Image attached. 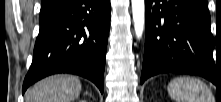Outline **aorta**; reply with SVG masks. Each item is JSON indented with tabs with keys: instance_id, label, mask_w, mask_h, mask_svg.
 <instances>
[{
	"instance_id": "1",
	"label": "aorta",
	"mask_w": 221,
	"mask_h": 102,
	"mask_svg": "<svg viewBox=\"0 0 221 102\" xmlns=\"http://www.w3.org/2000/svg\"><path fill=\"white\" fill-rule=\"evenodd\" d=\"M132 2V15L134 21V29L137 38H140L144 30L145 20V1L144 0H131Z\"/></svg>"
}]
</instances>
